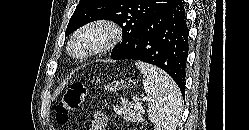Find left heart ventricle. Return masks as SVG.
<instances>
[{
  "mask_svg": "<svg viewBox=\"0 0 249 130\" xmlns=\"http://www.w3.org/2000/svg\"><path fill=\"white\" fill-rule=\"evenodd\" d=\"M100 39V35L97 33H91L78 41H76L72 47L73 52L75 53H82L88 47L96 43Z\"/></svg>",
  "mask_w": 249,
  "mask_h": 130,
  "instance_id": "1",
  "label": "left heart ventricle"
}]
</instances>
